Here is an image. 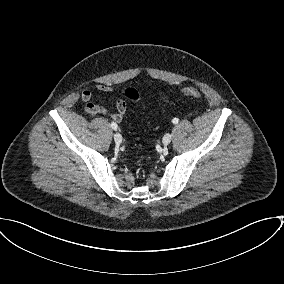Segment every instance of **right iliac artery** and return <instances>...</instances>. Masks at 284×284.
<instances>
[{
    "instance_id": "82829eb1",
    "label": "right iliac artery",
    "mask_w": 284,
    "mask_h": 284,
    "mask_svg": "<svg viewBox=\"0 0 284 284\" xmlns=\"http://www.w3.org/2000/svg\"><path fill=\"white\" fill-rule=\"evenodd\" d=\"M111 127H112V129H114V130H117V124L116 123H114V122H112L111 123Z\"/></svg>"
}]
</instances>
